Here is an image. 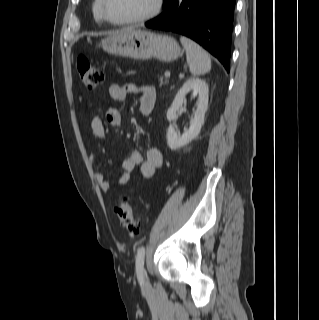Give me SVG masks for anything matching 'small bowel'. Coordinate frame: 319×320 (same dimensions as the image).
<instances>
[{
    "label": "small bowel",
    "instance_id": "small-bowel-1",
    "mask_svg": "<svg viewBox=\"0 0 319 320\" xmlns=\"http://www.w3.org/2000/svg\"><path fill=\"white\" fill-rule=\"evenodd\" d=\"M138 91L140 93L139 99V113L143 116H148L156 102V90L152 86H142L135 88L132 86H123L119 84H112L108 88V96L111 101V105L105 112V120L111 126H119L122 123V116L116 104L122 103L126 100L127 94L130 91ZM91 130L96 138L103 139L106 136L104 122L102 117L97 114L92 118ZM91 163L98 167V155L92 154L90 157ZM163 163L162 153L155 147H150L146 151L145 157L138 151H132L122 163V173L118 178L117 186H126L131 177V173L138 167L140 174L143 178H152L155 175L156 170ZM95 180L102 191H109L112 188V184L105 178V175L100 171H95Z\"/></svg>",
    "mask_w": 319,
    "mask_h": 320
}]
</instances>
